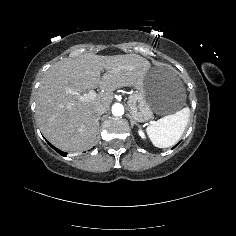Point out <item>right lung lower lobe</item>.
I'll use <instances>...</instances> for the list:
<instances>
[{
	"label": "right lung lower lobe",
	"mask_w": 236,
	"mask_h": 236,
	"mask_svg": "<svg viewBox=\"0 0 236 236\" xmlns=\"http://www.w3.org/2000/svg\"><path fill=\"white\" fill-rule=\"evenodd\" d=\"M49 145H50L54 150H56L60 155H62V156H66V155H67L66 152H63V151H61V150L55 148V147H54L53 145H51L50 143H49Z\"/></svg>",
	"instance_id": "obj_1"
}]
</instances>
